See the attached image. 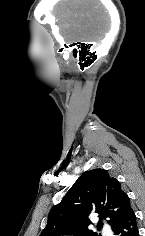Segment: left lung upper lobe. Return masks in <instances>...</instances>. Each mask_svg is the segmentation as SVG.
Returning <instances> with one entry per match:
<instances>
[{"label":"left lung upper lobe","mask_w":145,"mask_h":236,"mask_svg":"<svg viewBox=\"0 0 145 236\" xmlns=\"http://www.w3.org/2000/svg\"><path fill=\"white\" fill-rule=\"evenodd\" d=\"M132 210L128 195L121 189L119 181L103 169L84 172L62 201L49 213L48 222L40 236L62 234L98 236L88 229L91 222L88 215L97 213L102 227V219L113 228Z\"/></svg>","instance_id":"left-lung-upper-lobe-1"}]
</instances>
